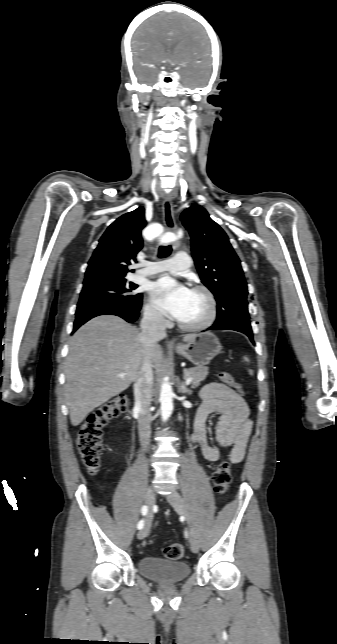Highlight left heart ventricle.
<instances>
[{
	"label": "left heart ventricle",
	"instance_id": "b2bd125f",
	"mask_svg": "<svg viewBox=\"0 0 337 644\" xmlns=\"http://www.w3.org/2000/svg\"><path fill=\"white\" fill-rule=\"evenodd\" d=\"M207 313L208 305L205 297L200 293L191 291L178 320L185 324H196L204 320Z\"/></svg>",
	"mask_w": 337,
	"mask_h": 644
}]
</instances>
